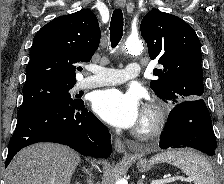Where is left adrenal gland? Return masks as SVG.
Returning a JSON list of instances; mask_svg holds the SVG:
<instances>
[{"mask_svg":"<svg viewBox=\"0 0 224 184\" xmlns=\"http://www.w3.org/2000/svg\"><path fill=\"white\" fill-rule=\"evenodd\" d=\"M138 184H143V180L139 179Z\"/></svg>","mask_w":224,"mask_h":184,"instance_id":"obj_1","label":"left adrenal gland"}]
</instances>
